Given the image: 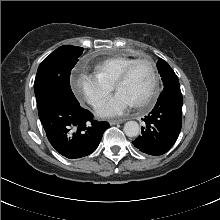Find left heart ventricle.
<instances>
[{
	"mask_svg": "<svg viewBox=\"0 0 220 220\" xmlns=\"http://www.w3.org/2000/svg\"><path fill=\"white\" fill-rule=\"evenodd\" d=\"M151 71L147 63L134 67L129 78L121 84L117 91L124 93L133 104L144 100L150 92Z\"/></svg>",
	"mask_w": 220,
	"mask_h": 220,
	"instance_id": "obj_1",
	"label": "left heart ventricle"
}]
</instances>
